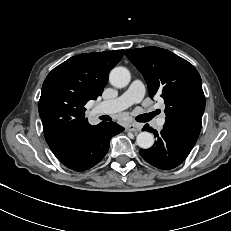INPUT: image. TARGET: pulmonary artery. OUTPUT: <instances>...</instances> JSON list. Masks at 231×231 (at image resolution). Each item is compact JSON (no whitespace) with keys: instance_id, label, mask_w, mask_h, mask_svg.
Instances as JSON below:
<instances>
[{"instance_id":"1","label":"pulmonary artery","mask_w":231,"mask_h":231,"mask_svg":"<svg viewBox=\"0 0 231 231\" xmlns=\"http://www.w3.org/2000/svg\"><path fill=\"white\" fill-rule=\"evenodd\" d=\"M144 95V84L140 80H134L124 93L115 99L101 102L97 106V110L104 113H116L128 108L132 104L141 102ZM164 122L165 117L161 115L157 119V126L161 128Z\"/></svg>"}]
</instances>
